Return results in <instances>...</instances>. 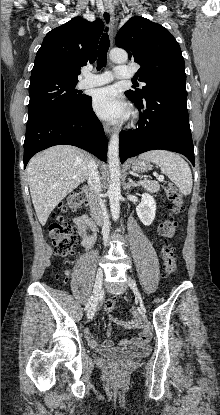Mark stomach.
<instances>
[{
    "mask_svg": "<svg viewBox=\"0 0 220 415\" xmlns=\"http://www.w3.org/2000/svg\"><path fill=\"white\" fill-rule=\"evenodd\" d=\"M131 169L137 173L147 172L151 166L148 162L135 159L130 163Z\"/></svg>",
    "mask_w": 220,
    "mask_h": 415,
    "instance_id": "0dacf381",
    "label": "stomach"
}]
</instances>
